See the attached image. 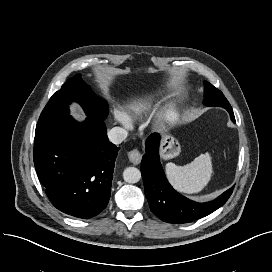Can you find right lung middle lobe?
<instances>
[{
  "label": "right lung middle lobe",
  "instance_id": "right-lung-middle-lobe-1",
  "mask_svg": "<svg viewBox=\"0 0 272 272\" xmlns=\"http://www.w3.org/2000/svg\"><path fill=\"white\" fill-rule=\"evenodd\" d=\"M71 101L78 102L91 120L103 121L108 114L107 102L97 97L78 74L53 94L39 117L37 127L62 123L70 118L68 105Z\"/></svg>",
  "mask_w": 272,
  "mask_h": 272
}]
</instances>
